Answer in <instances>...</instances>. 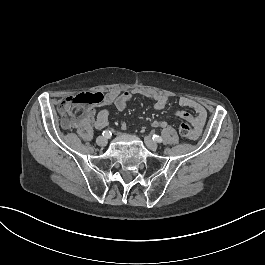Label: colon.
Instances as JSON below:
<instances>
[{
    "label": "colon",
    "mask_w": 265,
    "mask_h": 265,
    "mask_svg": "<svg viewBox=\"0 0 265 265\" xmlns=\"http://www.w3.org/2000/svg\"><path fill=\"white\" fill-rule=\"evenodd\" d=\"M104 101V96L100 92L89 91L78 92L67 100H64L60 104V124L63 127H70L73 124V118L77 115V110L80 107L96 106L102 104ZM179 133L184 139H194L196 133L193 129L191 122H182L180 125Z\"/></svg>",
    "instance_id": "1"
}]
</instances>
